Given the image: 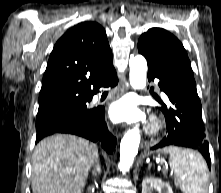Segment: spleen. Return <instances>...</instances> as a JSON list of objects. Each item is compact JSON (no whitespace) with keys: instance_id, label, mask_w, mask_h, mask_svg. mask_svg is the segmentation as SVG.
Wrapping results in <instances>:
<instances>
[{"instance_id":"1","label":"spleen","mask_w":221,"mask_h":193,"mask_svg":"<svg viewBox=\"0 0 221 193\" xmlns=\"http://www.w3.org/2000/svg\"><path fill=\"white\" fill-rule=\"evenodd\" d=\"M169 165L175 174V185L183 193H207L208 167L203 157L189 146L165 148Z\"/></svg>"}]
</instances>
